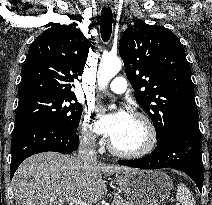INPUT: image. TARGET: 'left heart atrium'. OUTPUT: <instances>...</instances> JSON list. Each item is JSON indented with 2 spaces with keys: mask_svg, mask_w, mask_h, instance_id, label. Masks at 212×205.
I'll list each match as a JSON object with an SVG mask.
<instances>
[{
  "mask_svg": "<svg viewBox=\"0 0 212 205\" xmlns=\"http://www.w3.org/2000/svg\"><path fill=\"white\" fill-rule=\"evenodd\" d=\"M130 117L131 116L125 111H119L114 114H103L99 122L100 130L103 134L112 139L127 124Z\"/></svg>",
  "mask_w": 212,
  "mask_h": 205,
  "instance_id": "39dd6f15",
  "label": "left heart atrium"
}]
</instances>
